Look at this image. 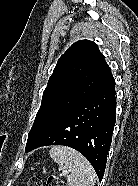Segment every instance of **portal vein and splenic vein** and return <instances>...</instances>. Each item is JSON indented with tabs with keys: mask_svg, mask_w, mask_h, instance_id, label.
Masks as SVG:
<instances>
[{
	"mask_svg": "<svg viewBox=\"0 0 138 186\" xmlns=\"http://www.w3.org/2000/svg\"><path fill=\"white\" fill-rule=\"evenodd\" d=\"M66 173H67V171H66V170H62L61 175H65Z\"/></svg>",
	"mask_w": 138,
	"mask_h": 186,
	"instance_id": "portal-vein-and-splenic-vein-1",
	"label": "portal vein and splenic vein"
}]
</instances>
